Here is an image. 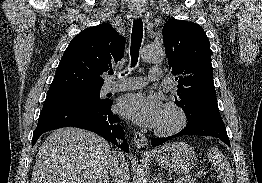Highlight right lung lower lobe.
<instances>
[{"instance_id":"obj_1","label":"right lung lower lobe","mask_w":262,"mask_h":183,"mask_svg":"<svg viewBox=\"0 0 262 183\" xmlns=\"http://www.w3.org/2000/svg\"><path fill=\"white\" fill-rule=\"evenodd\" d=\"M112 101L102 103L78 100L46 99L33 133L32 147L45 132L62 128L78 127L101 135L125 152H129L120 119L111 111Z\"/></svg>"}]
</instances>
